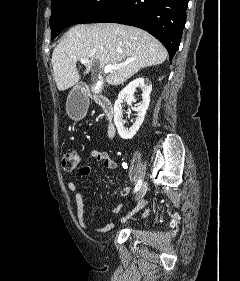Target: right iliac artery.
I'll use <instances>...</instances> for the list:
<instances>
[{"label": "right iliac artery", "instance_id": "82829eb1", "mask_svg": "<svg viewBox=\"0 0 240 281\" xmlns=\"http://www.w3.org/2000/svg\"><path fill=\"white\" fill-rule=\"evenodd\" d=\"M142 185V180H138L137 184L135 185L134 192H137Z\"/></svg>", "mask_w": 240, "mask_h": 281}]
</instances>
